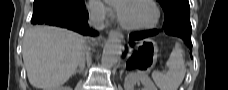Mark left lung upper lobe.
<instances>
[{
  "label": "left lung upper lobe",
  "mask_w": 228,
  "mask_h": 90,
  "mask_svg": "<svg viewBox=\"0 0 228 90\" xmlns=\"http://www.w3.org/2000/svg\"><path fill=\"white\" fill-rule=\"evenodd\" d=\"M165 14L164 26L191 29L188 0H158Z\"/></svg>",
  "instance_id": "1"
}]
</instances>
